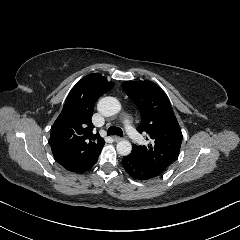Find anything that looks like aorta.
<instances>
[{
    "instance_id": "obj_1",
    "label": "aorta",
    "mask_w": 240,
    "mask_h": 240,
    "mask_svg": "<svg viewBox=\"0 0 240 240\" xmlns=\"http://www.w3.org/2000/svg\"><path fill=\"white\" fill-rule=\"evenodd\" d=\"M98 112L104 117H110L117 114L121 110V104L115 97L107 96L98 101ZM117 152L122 156L131 153L132 145L128 140H121L117 143Z\"/></svg>"
}]
</instances>
